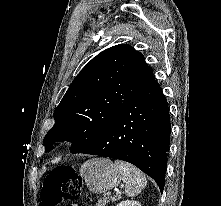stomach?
Wrapping results in <instances>:
<instances>
[{
  "mask_svg": "<svg viewBox=\"0 0 221 206\" xmlns=\"http://www.w3.org/2000/svg\"><path fill=\"white\" fill-rule=\"evenodd\" d=\"M80 175L86 186L95 193H104L119 185L122 180L118 167L106 158L88 160L82 165Z\"/></svg>",
  "mask_w": 221,
  "mask_h": 206,
  "instance_id": "stomach-1",
  "label": "stomach"
}]
</instances>
